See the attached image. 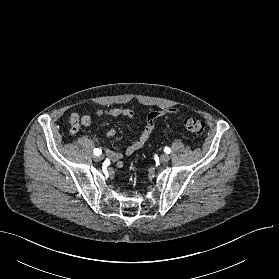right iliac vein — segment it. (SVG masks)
I'll return each instance as SVG.
<instances>
[{"label": "right iliac vein", "mask_w": 279, "mask_h": 279, "mask_svg": "<svg viewBox=\"0 0 279 279\" xmlns=\"http://www.w3.org/2000/svg\"><path fill=\"white\" fill-rule=\"evenodd\" d=\"M104 159V157L102 156V155H99V156H96L95 157V160L96 161H101V160H103Z\"/></svg>", "instance_id": "1"}]
</instances>
